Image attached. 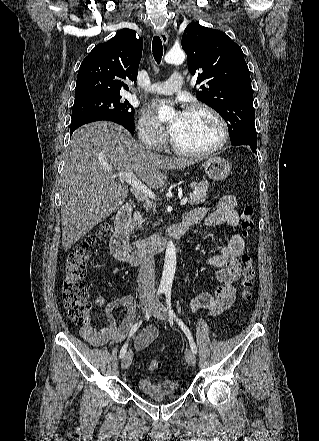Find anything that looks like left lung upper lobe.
I'll return each instance as SVG.
<instances>
[{
    "label": "left lung upper lobe",
    "mask_w": 319,
    "mask_h": 441,
    "mask_svg": "<svg viewBox=\"0 0 319 441\" xmlns=\"http://www.w3.org/2000/svg\"><path fill=\"white\" fill-rule=\"evenodd\" d=\"M189 71L204 83L197 98L227 122L231 143L257 145L248 66L241 48L225 33L190 23L182 36Z\"/></svg>",
    "instance_id": "1"
}]
</instances>
